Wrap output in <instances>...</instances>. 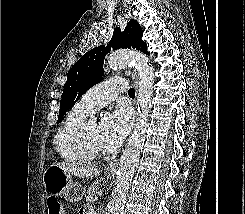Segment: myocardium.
I'll use <instances>...</instances> for the list:
<instances>
[{
  "label": "myocardium",
  "mask_w": 245,
  "mask_h": 214,
  "mask_svg": "<svg viewBox=\"0 0 245 214\" xmlns=\"http://www.w3.org/2000/svg\"><path fill=\"white\" fill-rule=\"evenodd\" d=\"M89 121H84L77 129L74 137V144L79 155L85 160H95L101 158L104 153L90 150L86 140V130Z\"/></svg>",
  "instance_id": "myocardium-1"
}]
</instances>
